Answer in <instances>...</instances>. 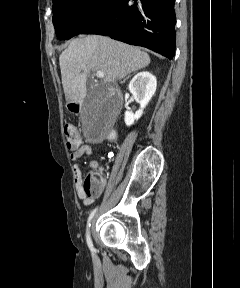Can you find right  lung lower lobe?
<instances>
[{
  "mask_svg": "<svg viewBox=\"0 0 240 288\" xmlns=\"http://www.w3.org/2000/svg\"><path fill=\"white\" fill-rule=\"evenodd\" d=\"M175 0H111L102 14L81 34L108 35L173 58Z\"/></svg>",
  "mask_w": 240,
  "mask_h": 288,
  "instance_id": "1",
  "label": "right lung lower lobe"
}]
</instances>
